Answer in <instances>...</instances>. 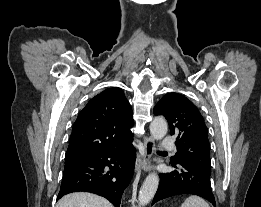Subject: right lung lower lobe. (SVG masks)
Masks as SVG:
<instances>
[{"mask_svg":"<svg viewBox=\"0 0 261 207\" xmlns=\"http://www.w3.org/2000/svg\"><path fill=\"white\" fill-rule=\"evenodd\" d=\"M135 163V149L130 142L89 158L65 164L57 200L71 192L86 191L107 198L120 207Z\"/></svg>","mask_w":261,"mask_h":207,"instance_id":"98d812e1","label":"right lung lower lobe"}]
</instances>
